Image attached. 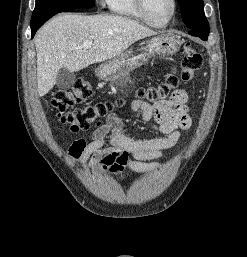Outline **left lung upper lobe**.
I'll list each match as a JSON object with an SVG mask.
<instances>
[{"label": "left lung upper lobe", "instance_id": "5c2ea615", "mask_svg": "<svg viewBox=\"0 0 247 257\" xmlns=\"http://www.w3.org/2000/svg\"><path fill=\"white\" fill-rule=\"evenodd\" d=\"M184 23L190 29L209 33V23L204 14L203 0H179Z\"/></svg>", "mask_w": 247, "mask_h": 257}]
</instances>
